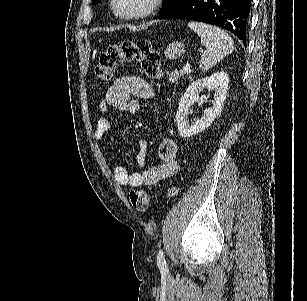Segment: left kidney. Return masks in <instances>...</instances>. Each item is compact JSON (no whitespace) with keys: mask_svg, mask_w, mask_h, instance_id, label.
I'll return each instance as SVG.
<instances>
[{"mask_svg":"<svg viewBox=\"0 0 307 301\" xmlns=\"http://www.w3.org/2000/svg\"><path fill=\"white\" fill-rule=\"evenodd\" d=\"M229 76L221 70V72H214L211 76L206 78H197L189 84L186 92L181 96L178 110L176 112V122L180 136H193L197 132H202L205 128H208L212 124L214 118L218 116L223 108V104L226 100V94L229 84ZM208 88V90H214V98L211 100L212 106L205 108L203 116L201 118H194V122H189L190 106L200 100L204 102L208 96H200L199 92Z\"/></svg>","mask_w":307,"mask_h":301,"instance_id":"left-kidney-1","label":"left kidney"}]
</instances>
